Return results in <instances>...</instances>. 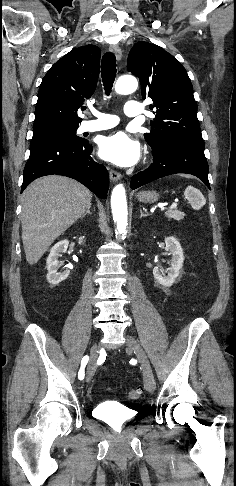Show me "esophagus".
Instances as JSON below:
<instances>
[{
  "label": "esophagus",
  "instance_id": "obj_1",
  "mask_svg": "<svg viewBox=\"0 0 236 486\" xmlns=\"http://www.w3.org/2000/svg\"><path fill=\"white\" fill-rule=\"evenodd\" d=\"M111 50L115 54L117 61H120L121 58H122V51H121V49L118 46H113L111 48ZM109 176H110V179L113 182L119 181L121 179V177H122L119 172L114 171V170H110L109 171Z\"/></svg>",
  "mask_w": 236,
  "mask_h": 486
}]
</instances>
